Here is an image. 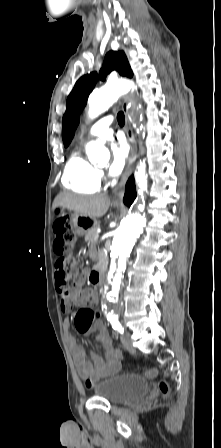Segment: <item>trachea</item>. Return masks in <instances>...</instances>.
Wrapping results in <instances>:
<instances>
[{
	"mask_svg": "<svg viewBox=\"0 0 221 448\" xmlns=\"http://www.w3.org/2000/svg\"><path fill=\"white\" fill-rule=\"evenodd\" d=\"M117 121L119 123V125L123 126L125 123V116L123 112H118L117 114Z\"/></svg>",
	"mask_w": 221,
	"mask_h": 448,
	"instance_id": "1",
	"label": "trachea"
}]
</instances>
